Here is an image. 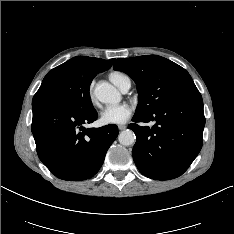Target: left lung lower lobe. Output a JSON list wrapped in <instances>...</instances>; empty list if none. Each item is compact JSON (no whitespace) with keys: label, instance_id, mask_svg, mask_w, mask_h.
<instances>
[{"label":"left lung lower lobe","instance_id":"1","mask_svg":"<svg viewBox=\"0 0 234 234\" xmlns=\"http://www.w3.org/2000/svg\"><path fill=\"white\" fill-rule=\"evenodd\" d=\"M129 124L136 135L132 154L139 171L155 180L182 175L200 152L205 117L199 91L177 98L153 113L133 117ZM155 121L141 127L136 122Z\"/></svg>","mask_w":234,"mask_h":234}]
</instances>
